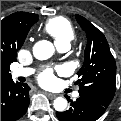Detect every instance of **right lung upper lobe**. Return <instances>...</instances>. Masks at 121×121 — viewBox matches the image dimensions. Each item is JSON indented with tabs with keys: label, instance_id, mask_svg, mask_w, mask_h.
<instances>
[{
	"label": "right lung upper lobe",
	"instance_id": "1",
	"mask_svg": "<svg viewBox=\"0 0 121 121\" xmlns=\"http://www.w3.org/2000/svg\"><path fill=\"white\" fill-rule=\"evenodd\" d=\"M37 20V14L27 12H16L1 20V80L11 77L10 64L16 61L17 50Z\"/></svg>",
	"mask_w": 121,
	"mask_h": 121
}]
</instances>
